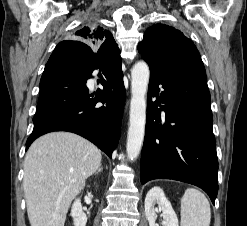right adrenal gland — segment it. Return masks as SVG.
Returning a JSON list of instances; mask_svg holds the SVG:
<instances>
[{"label":"right adrenal gland","instance_id":"right-adrenal-gland-1","mask_svg":"<svg viewBox=\"0 0 247 226\" xmlns=\"http://www.w3.org/2000/svg\"><path fill=\"white\" fill-rule=\"evenodd\" d=\"M101 171H102V166L100 165L95 174L97 175Z\"/></svg>","mask_w":247,"mask_h":226}]
</instances>
